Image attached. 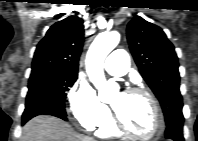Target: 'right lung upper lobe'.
Instances as JSON below:
<instances>
[{"instance_id": "obj_1", "label": "right lung upper lobe", "mask_w": 198, "mask_h": 141, "mask_svg": "<svg viewBox=\"0 0 198 141\" xmlns=\"http://www.w3.org/2000/svg\"><path fill=\"white\" fill-rule=\"evenodd\" d=\"M84 41L83 21L69 16L50 27L34 54L32 73H77Z\"/></svg>"}]
</instances>
